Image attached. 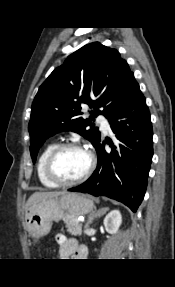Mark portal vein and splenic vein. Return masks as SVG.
<instances>
[{
	"mask_svg": "<svg viewBox=\"0 0 175 287\" xmlns=\"http://www.w3.org/2000/svg\"><path fill=\"white\" fill-rule=\"evenodd\" d=\"M78 221H79V222H83L84 219H83V218H79Z\"/></svg>",
	"mask_w": 175,
	"mask_h": 287,
	"instance_id": "18ae733b",
	"label": "portal vein and splenic vein"
}]
</instances>
